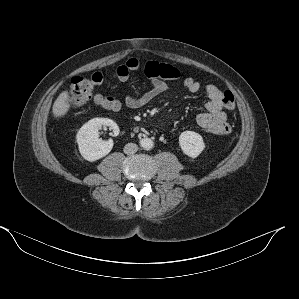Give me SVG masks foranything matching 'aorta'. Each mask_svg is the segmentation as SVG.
Wrapping results in <instances>:
<instances>
[{
    "mask_svg": "<svg viewBox=\"0 0 299 299\" xmlns=\"http://www.w3.org/2000/svg\"><path fill=\"white\" fill-rule=\"evenodd\" d=\"M140 144H141L142 148H144L146 150H150L154 147V142L150 138H143L140 141Z\"/></svg>",
    "mask_w": 299,
    "mask_h": 299,
    "instance_id": "1",
    "label": "aorta"
}]
</instances>
